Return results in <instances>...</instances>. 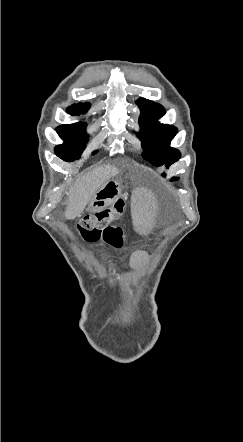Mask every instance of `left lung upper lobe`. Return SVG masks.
Segmentation results:
<instances>
[{"label":"left lung upper lobe","mask_w":243,"mask_h":442,"mask_svg":"<svg viewBox=\"0 0 243 442\" xmlns=\"http://www.w3.org/2000/svg\"><path fill=\"white\" fill-rule=\"evenodd\" d=\"M137 105L141 110L139 117L141 131L138 137L145 150L143 157L151 163H156V166L165 165L168 168L181 156L177 149L169 146L177 134V128L157 121L166 113L158 103L141 98L137 101Z\"/></svg>","instance_id":"5c2ea615"}]
</instances>
